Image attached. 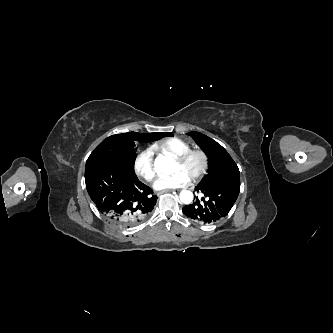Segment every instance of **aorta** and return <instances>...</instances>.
Returning <instances> with one entry per match:
<instances>
[{
    "label": "aorta",
    "instance_id": "762f6f07",
    "mask_svg": "<svg viewBox=\"0 0 333 333\" xmlns=\"http://www.w3.org/2000/svg\"><path fill=\"white\" fill-rule=\"evenodd\" d=\"M175 167V160L173 158L159 155L155 159L154 169L158 175H170L173 173ZM180 200L184 204H190L193 200L192 192L183 190L180 193Z\"/></svg>",
    "mask_w": 333,
    "mask_h": 333
}]
</instances>
